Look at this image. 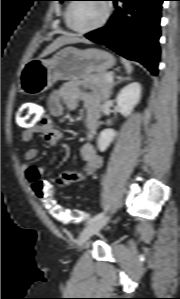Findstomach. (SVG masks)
<instances>
[{
	"instance_id": "1",
	"label": "stomach",
	"mask_w": 180,
	"mask_h": 299,
	"mask_svg": "<svg viewBox=\"0 0 180 299\" xmlns=\"http://www.w3.org/2000/svg\"><path fill=\"white\" fill-rule=\"evenodd\" d=\"M115 64L110 53L89 48L66 47L50 59H31L19 72V88L26 95H39L58 80H78L91 73H105Z\"/></svg>"
}]
</instances>
